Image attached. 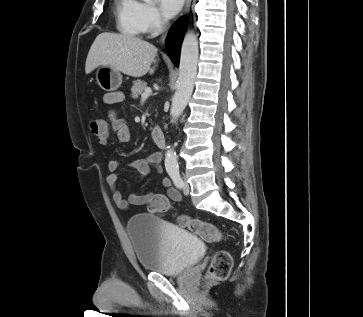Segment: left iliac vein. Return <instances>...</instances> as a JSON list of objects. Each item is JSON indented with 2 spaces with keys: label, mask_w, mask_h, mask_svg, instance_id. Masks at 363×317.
Segmentation results:
<instances>
[{
  "label": "left iliac vein",
  "mask_w": 363,
  "mask_h": 317,
  "mask_svg": "<svg viewBox=\"0 0 363 317\" xmlns=\"http://www.w3.org/2000/svg\"><path fill=\"white\" fill-rule=\"evenodd\" d=\"M189 191H190L189 184L185 181L183 183V192H184L185 195H188L189 194Z\"/></svg>",
  "instance_id": "4c4485c4"
}]
</instances>
